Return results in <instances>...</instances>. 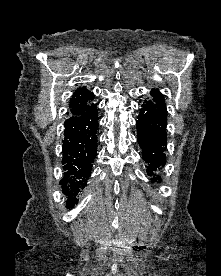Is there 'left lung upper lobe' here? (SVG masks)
<instances>
[{"label": "left lung upper lobe", "mask_w": 221, "mask_h": 276, "mask_svg": "<svg viewBox=\"0 0 221 276\" xmlns=\"http://www.w3.org/2000/svg\"><path fill=\"white\" fill-rule=\"evenodd\" d=\"M151 96L153 97V101H155L156 103L161 104V105H166L164 97L159 90L152 89Z\"/></svg>", "instance_id": "5c2ea615"}]
</instances>
